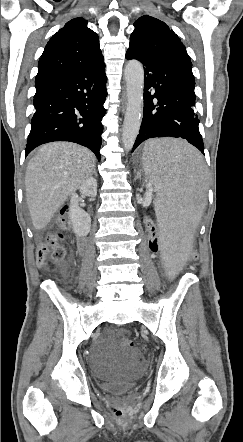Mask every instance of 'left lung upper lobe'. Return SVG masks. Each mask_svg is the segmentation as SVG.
<instances>
[{
    "mask_svg": "<svg viewBox=\"0 0 243 442\" xmlns=\"http://www.w3.org/2000/svg\"><path fill=\"white\" fill-rule=\"evenodd\" d=\"M130 45L153 55L191 65L190 57L178 36L162 21L148 15L134 23Z\"/></svg>",
    "mask_w": 243,
    "mask_h": 442,
    "instance_id": "1",
    "label": "left lung upper lobe"
}]
</instances>
